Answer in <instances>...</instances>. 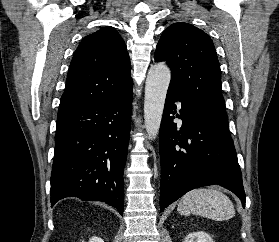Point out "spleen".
<instances>
[{"mask_svg":"<svg viewBox=\"0 0 279 242\" xmlns=\"http://www.w3.org/2000/svg\"><path fill=\"white\" fill-rule=\"evenodd\" d=\"M177 210L182 215L193 213L216 221L228 220L235 215V208L229 197L212 188L189 191L181 198Z\"/></svg>","mask_w":279,"mask_h":242,"instance_id":"1","label":"spleen"}]
</instances>
